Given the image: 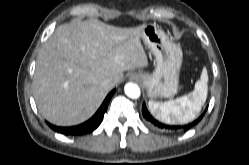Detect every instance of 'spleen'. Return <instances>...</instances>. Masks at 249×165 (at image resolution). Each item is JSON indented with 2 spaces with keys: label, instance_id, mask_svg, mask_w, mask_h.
I'll use <instances>...</instances> for the list:
<instances>
[{
  "label": "spleen",
  "instance_id": "obj_1",
  "mask_svg": "<svg viewBox=\"0 0 249 165\" xmlns=\"http://www.w3.org/2000/svg\"><path fill=\"white\" fill-rule=\"evenodd\" d=\"M208 73L203 68L200 79L193 92L168 102L149 101L151 113L159 120L168 123H188L194 120L206 102L208 92Z\"/></svg>",
  "mask_w": 249,
  "mask_h": 165
}]
</instances>
